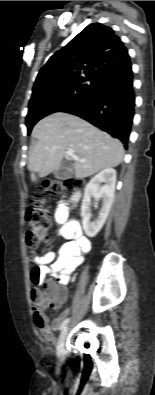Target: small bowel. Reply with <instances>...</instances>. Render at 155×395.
<instances>
[{
	"label": "small bowel",
	"instance_id": "obj_1",
	"mask_svg": "<svg viewBox=\"0 0 155 395\" xmlns=\"http://www.w3.org/2000/svg\"><path fill=\"white\" fill-rule=\"evenodd\" d=\"M54 217L59 229V237L65 242L57 254L49 252L39 259L38 263H33V267H29V280L34 281V288L37 292L43 291L41 281L46 276L55 278L62 286L67 285L71 275L82 264L83 255L89 251L91 245L89 239L83 235L79 224L76 221L68 220V208L64 203H59L56 206ZM32 253H41L39 245L32 248ZM65 299L66 291L62 290L60 297L45 300L40 305L33 307L34 325L47 341H53V332L58 329L61 319L67 312L49 323L44 310L49 306H60Z\"/></svg>",
	"mask_w": 155,
	"mask_h": 395
}]
</instances>
